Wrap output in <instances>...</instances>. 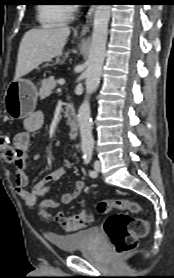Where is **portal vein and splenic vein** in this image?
Instances as JSON below:
<instances>
[{"label": "portal vein and splenic vein", "mask_w": 174, "mask_h": 278, "mask_svg": "<svg viewBox=\"0 0 174 278\" xmlns=\"http://www.w3.org/2000/svg\"><path fill=\"white\" fill-rule=\"evenodd\" d=\"M64 83H65V82H64L63 80L59 81V84H60V85H64Z\"/></svg>", "instance_id": "obj_1"}]
</instances>
